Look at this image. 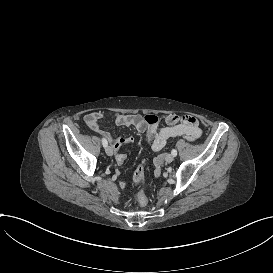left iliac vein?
<instances>
[{"instance_id":"4c4485c4","label":"left iliac vein","mask_w":273,"mask_h":273,"mask_svg":"<svg viewBox=\"0 0 273 273\" xmlns=\"http://www.w3.org/2000/svg\"><path fill=\"white\" fill-rule=\"evenodd\" d=\"M173 159H174V157H173L172 154H166V155H165V161H166L167 163H171V162L173 161Z\"/></svg>"}]
</instances>
